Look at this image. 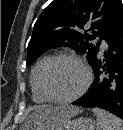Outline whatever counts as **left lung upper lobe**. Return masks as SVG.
Here are the masks:
<instances>
[{
    "label": "left lung upper lobe",
    "mask_w": 123,
    "mask_h": 130,
    "mask_svg": "<svg viewBox=\"0 0 123 130\" xmlns=\"http://www.w3.org/2000/svg\"><path fill=\"white\" fill-rule=\"evenodd\" d=\"M122 16L120 0H53L34 25L26 64L31 65L47 49L57 46L86 54L91 64L98 56L101 39L110 36ZM84 27L89 33L82 32ZM96 36L101 39L94 46L89 41Z\"/></svg>",
    "instance_id": "5c2ea615"
}]
</instances>
